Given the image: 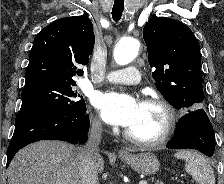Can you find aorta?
Segmentation results:
<instances>
[{
	"mask_svg": "<svg viewBox=\"0 0 224 184\" xmlns=\"http://www.w3.org/2000/svg\"><path fill=\"white\" fill-rule=\"evenodd\" d=\"M139 47V41L134 38L121 39L114 48V60L119 65L129 64L137 56Z\"/></svg>",
	"mask_w": 224,
	"mask_h": 184,
	"instance_id": "762f6f07",
	"label": "aorta"
}]
</instances>
